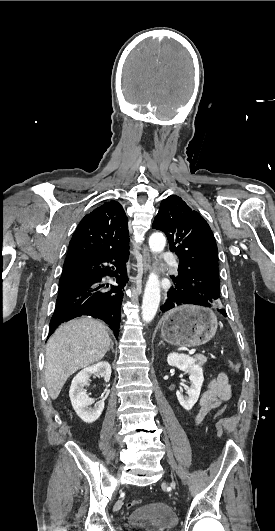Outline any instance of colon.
<instances>
[{
    "instance_id": "1",
    "label": "colon",
    "mask_w": 275,
    "mask_h": 531,
    "mask_svg": "<svg viewBox=\"0 0 275 531\" xmlns=\"http://www.w3.org/2000/svg\"><path fill=\"white\" fill-rule=\"evenodd\" d=\"M228 365L235 372H238L241 369V366H240L239 362L234 361V360H230L228 362ZM226 411H227V408H226L225 404H222V405L218 406V408L215 410V412L213 414V419L214 420H212V423H215V421H220L224 417ZM140 503H141L140 499H133V500L128 502V506L132 507V506L138 505Z\"/></svg>"
}]
</instances>
